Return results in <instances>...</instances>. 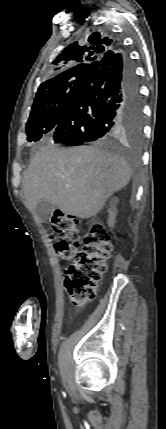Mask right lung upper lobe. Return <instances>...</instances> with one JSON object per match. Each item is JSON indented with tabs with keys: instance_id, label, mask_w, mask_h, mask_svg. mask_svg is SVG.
Here are the masks:
<instances>
[{
	"instance_id": "cb5924a9",
	"label": "right lung upper lobe",
	"mask_w": 166,
	"mask_h": 429,
	"mask_svg": "<svg viewBox=\"0 0 166 429\" xmlns=\"http://www.w3.org/2000/svg\"><path fill=\"white\" fill-rule=\"evenodd\" d=\"M116 45L104 34L95 32L88 39L76 41L67 46L52 62L51 79L42 83L38 92L42 93L53 84L77 75H86L90 64L104 56L107 52L115 51ZM36 94V95H37Z\"/></svg>"
}]
</instances>
